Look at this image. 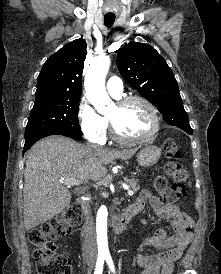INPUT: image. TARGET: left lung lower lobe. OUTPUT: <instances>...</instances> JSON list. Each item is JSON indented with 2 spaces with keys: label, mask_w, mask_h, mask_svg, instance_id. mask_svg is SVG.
<instances>
[{
  "label": "left lung lower lobe",
  "mask_w": 221,
  "mask_h": 274,
  "mask_svg": "<svg viewBox=\"0 0 221 274\" xmlns=\"http://www.w3.org/2000/svg\"><path fill=\"white\" fill-rule=\"evenodd\" d=\"M170 117H171V119H170ZM177 117H180L178 119L182 120V122L174 123L175 118H177ZM186 117H188L187 113L184 110V108L181 107L177 111L170 113L169 116L164 118V120L166 121L167 124L172 125V126H177V127L181 128L182 130H184L185 132H187L188 134L192 135V129L189 125V120L186 119Z\"/></svg>",
  "instance_id": "1"
}]
</instances>
